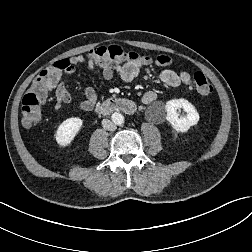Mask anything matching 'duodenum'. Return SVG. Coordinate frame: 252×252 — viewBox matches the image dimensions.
<instances>
[{"label": "duodenum", "mask_w": 252, "mask_h": 252, "mask_svg": "<svg viewBox=\"0 0 252 252\" xmlns=\"http://www.w3.org/2000/svg\"><path fill=\"white\" fill-rule=\"evenodd\" d=\"M95 109L101 114H111L114 112L133 114L136 111V105L130 100L111 98L100 103Z\"/></svg>", "instance_id": "obj_1"}]
</instances>
